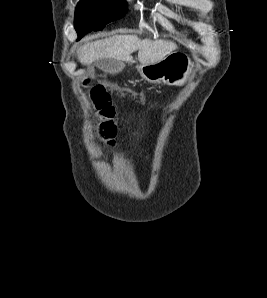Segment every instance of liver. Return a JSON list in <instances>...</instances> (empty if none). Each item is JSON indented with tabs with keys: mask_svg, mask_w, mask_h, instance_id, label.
<instances>
[{
	"mask_svg": "<svg viewBox=\"0 0 267 298\" xmlns=\"http://www.w3.org/2000/svg\"><path fill=\"white\" fill-rule=\"evenodd\" d=\"M178 46L172 41L139 39L136 35H115L88 43L78 50V60L90 65L99 59H115L131 62L132 53L138 51L141 64H154L163 60Z\"/></svg>",
	"mask_w": 267,
	"mask_h": 298,
	"instance_id": "1",
	"label": "liver"
}]
</instances>
